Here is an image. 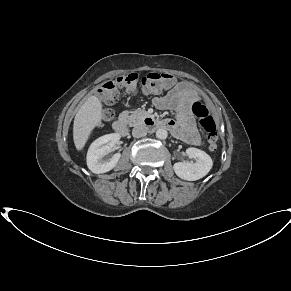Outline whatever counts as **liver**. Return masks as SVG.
<instances>
[{"label":"liver","mask_w":291,"mask_h":291,"mask_svg":"<svg viewBox=\"0 0 291 291\" xmlns=\"http://www.w3.org/2000/svg\"><path fill=\"white\" fill-rule=\"evenodd\" d=\"M102 119V102L97 95H92L82 104L74 118L73 140L78 151L84 148L91 133L101 124Z\"/></svg>","instance_id":"1"}]
</instances>
